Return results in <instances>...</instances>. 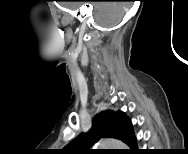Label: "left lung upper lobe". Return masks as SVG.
<instances>
[{"mask_svg":"<svg viewBox=\"0 0 188 154\" xmlns=\"http://www.w3.org/2000/svg\"><path fill=\"white\" fill-rule=\"evenodd\" d=\"M130 119L122 111L105 110L96 115L87 134L79 135L63 150L68 154H88L89 149L101 137L124 139Z\"/></svg>","mask_w":188,"mask_h":154,"instance_id":"left-lung-upper-lobe-1","label":"left lung upper lobe"}]
</instances>
